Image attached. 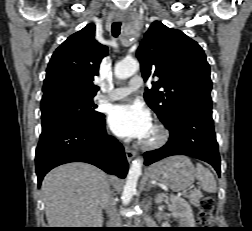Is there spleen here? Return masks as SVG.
<instances>
[{
  "instance_id": "3e777b00",
  "label": "spleen",
  "mask_w": 252,
  "mask_h": 231,
  "mask_svg": "<svg viewBox=\"0 0 252 231\" xmlns=\"http://www.w3.org/2000/svg\"><path fill=\"white\" fill-rule=\"evenodd\" d=\"M195 176L200 181L201 188L204 191L209 193H215L217 191V185L213 174L202 164H197Z\"/></svg>"
}]
</instances>
